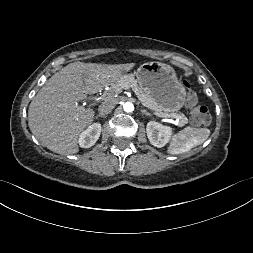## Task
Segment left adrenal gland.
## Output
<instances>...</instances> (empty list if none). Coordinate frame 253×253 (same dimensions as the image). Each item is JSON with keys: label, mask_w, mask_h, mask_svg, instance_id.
I'll return each instance as SVG.
<instances>
[{"label": "left adrenal gland", "mask_w": 253, "mask_h": 253, "mask_svg": "<svg viewBox=\"0 0 253 253\" xmlns=\"http://www.w3.org/2000/svg\"><path fill=\"white\" fill-rule=\"evenodd\" d=\"M141 113H143V114H145V115H147V116H150L151 114L147 111V110H145V109H141Z\"/></svg>", "instance_id": "1"}]
</instances>
